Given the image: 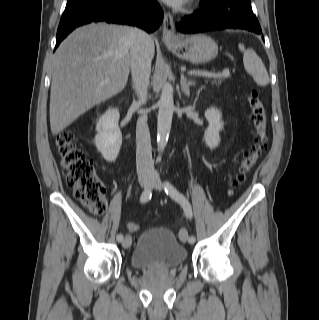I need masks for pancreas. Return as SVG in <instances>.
<instances>
[{
  "label": "pancreas",
  "mask_w": 319,
  "mask_h": 320,
  "mask_svg": "<svg viewBox=\"0 0 319 320\" xmlns=\"http://www.w3.org/2000/svg\"><path fill=\"white\" fill-rule=\"evenodd\" d=\"M220 82H221L220 80H218V81H213V83L216 84V85L219 84Z\"/></svg>",
  "instance_id": "cf45deb5"
}]
</instances>
